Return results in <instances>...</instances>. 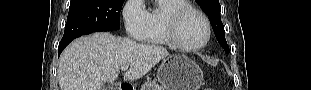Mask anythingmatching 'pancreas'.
Here are the masks:
<instances>
[{
	"instance_id": "cf45deb5",
	"label": "pancreas",
	"mask_w": 311,
	"mask_h": 90,
	"mask_svg": "<svg viewBox=\"0 0 311 90\" xmlns=\"http://www.w3.org/2000/svg\"><path fill=\"white\" fill-rule=\"evenodd\" d=\"M141 90H163L161 86H159L156 81L146 82L141 86Z\"/></svg>"
}]
</instances>
